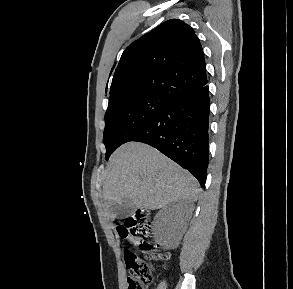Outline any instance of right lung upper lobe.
Returning a JSON list of instances; mask_svg holds the SVG:
<instances>
[{
    "instance_id": "obj_1",
    "label": "right lung upper lobe",
    "mask_w": 293,
    "mask_h": 289,
    "mask_svg": "<svg viewBox=\"0 0 293 289\" xmlns=\"http://www.w3.org/2000/svg\"><path fill=\"white\" fill-rule=\"evenodd\" d=\"M207 82L204 53L194 30L170 19L125 49L113 76L109 105L146 94L173 101Z\"/></svg>"
}]
</instances>
